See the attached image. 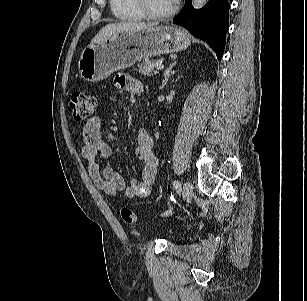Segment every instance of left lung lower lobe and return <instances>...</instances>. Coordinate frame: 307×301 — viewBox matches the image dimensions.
I'll return each instance as SVG.
<instances>
[{
    "label": "left lung lower lobe",
    "mask_w": 307,
    "mask_h": 301,
    "mask_svg": "<svg viewBox=\"0 0 307 301\" xmlns=\"http://www.w3.org/2000/svg\"><path fill=\"white\" fill-rule=\"evenodd\" d=\"M229 9L228 0H210L198 10L192 7V0H186L184 9L173 19V23L207 42L221 60L229 27Z\"/></svg>",
    "instance_id": "obj_1"
}]
</instances>
